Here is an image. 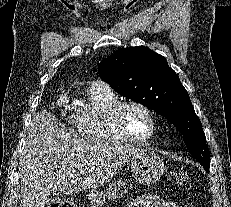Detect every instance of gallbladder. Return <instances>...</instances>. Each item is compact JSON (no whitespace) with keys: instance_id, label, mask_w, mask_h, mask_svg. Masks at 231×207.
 Returning <instances> with one entry per match:
<instances>
[{"instance_id":"1","label":"gallbladder","mask_w":231,"mask_h":207,"mask_svg":"<svg viewBox=\"0 0 231 207\" xmlns=\"http://www.w3.org/2000/svg\"><path fill=\"white\" fill-rule=\"evenodd\" d=\"M64 199V196L60 192H53L49 197L47 201V207H51L54 204H60L62 203V200Z\"/></svg>"}]
</instances>
